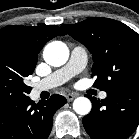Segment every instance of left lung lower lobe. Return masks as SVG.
<instances>
[{
    "mask_svg": "<svg viewBox=\"0 0 139 139\" xmlns=\"http://www.w3.org/2000/svg\"><path fill=\"white\" fill-rule=\"evenodd\" d=\"M92 101L91 112L83 125L92 139H126L139 125V82L107 93L105 99Z\"/></svg>",
    "mask_w": 139,
    "mask_h": 139,
    "instance_id": "left-lung-lower-lobe-1",
    "label": "left lung lower lobe"
}]
</instances>
